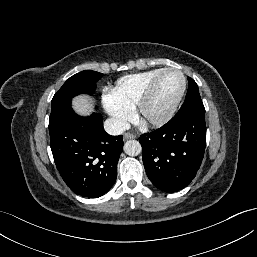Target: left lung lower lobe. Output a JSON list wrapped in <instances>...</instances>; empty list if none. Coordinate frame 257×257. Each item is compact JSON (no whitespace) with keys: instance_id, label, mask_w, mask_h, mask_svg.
Wrapping results in <instances>:
<instances>
[{"instance_id":"1","label":"left lung lower lobe","mask_w":257,"mask_h":257,"mask_svg":"<svg viewBox=\"0 0 257 257\" xmlns=\"http://www.w3.org/2000/svg\"><path fill=\"white\" fill-rule=\"evenodd\" d=\"M146 174L162 191L177 192L190 184L206 145L204 113L175 115L161 128L140 136Z\"/></svg>"}]
</instances>
